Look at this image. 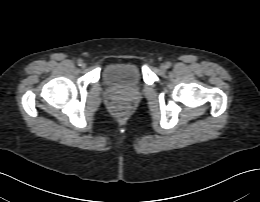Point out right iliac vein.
Here are the masks:
<instances>
[{
    "label": "right iliac vein",
    "mask_w": 260,
    "mask_h": 202,
    "mask_svg": "<svg viewBox=\"0 0 260 202\" xmlns=\"http://www.w3.org/2000/svg\"><path fill=\"white\" fill-rule=\"evenodd\" d=\"M81 67H82V68H86V64H85V63H82Z\"/></svg>",
    "instance_id": "1"
}]
</instances>
